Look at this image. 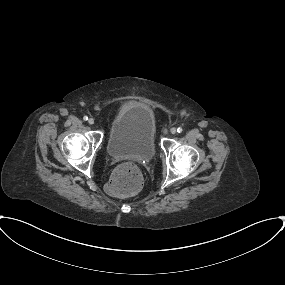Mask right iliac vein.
<instances>
[{
  "mask_svg": "<svg viewBox=\"0 0 285 285\" xmlns=\"http://www.w3.org/2000/svg\"><path fill=\"white\" fill-rule=\"evenodd\" d=\"M88 123L90 125H93L95 123V120L93 118H89Z\"/></svg>",
  "mask_w": 285,
  "mask_h": 285,
  "instance_id": "63e3f726",
  "label": "right iliac vein"
}]
</instances>
